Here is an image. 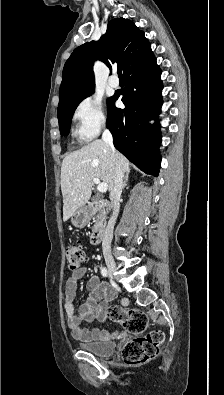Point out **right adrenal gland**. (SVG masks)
Returning <instances> with one entry per match:
<instances>
[{"mask_svg":"<svg viewBox=\"0 0 224 395\" xmlns=\"http://www.w3.org/2000/svg\"><path fill=\"white\" fill-rule=\"evenodd\" d=\"M128 179H129V175L126 174V176L124 178V182H123V189L127 186Z\"/></svg>","mask_w":224,"mask_h":395,"instance_id":"obj_1","label":"right adrenal gland"}]
</instances>
